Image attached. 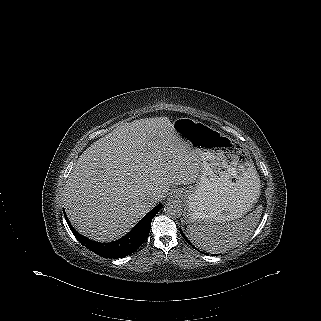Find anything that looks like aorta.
Here are the masks:
<instances>
[{
    "instance_id": "762f6f07",
    "label": "aorta",
    "mask_w": 321,
    "mask_h": 321,
    "mask_svg": "<svg viewBox=\"0 0 321 321\" xmlns=\"http://www.w3.org/2000/svg\"><path fill=\"white\" fill-rule=\"evenodd\" d=\"M165 213L172 218H179L183 213L181 204L176 200H170L165 204Z\"/></svg>"
}]
</instances>
